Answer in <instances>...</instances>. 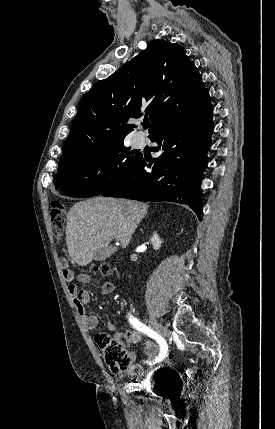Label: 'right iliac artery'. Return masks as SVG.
<instances>
[{"instance_id":"obj_1","label":"right iliac artery","mask_w":275,"mask_h":429,"mask_svg":"<svg viewBox=\"0 0 275 429\" xmlns=\"http://www.w3.org/2000/svg\"><path fill=\"white\" fill-rule=\"evenodd\" d=\"M129 321L136 330L141 331L142 333L156 340L160 346V353L155 359L154 363L162 361L165 358L168 350L165 340L150 327H147L145 324L140 322L137 318H134L130 315Z\"/></svg>"}]
</instances>
